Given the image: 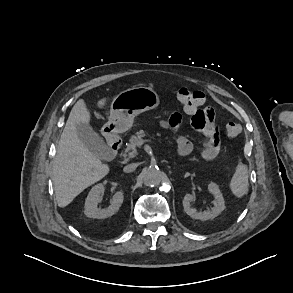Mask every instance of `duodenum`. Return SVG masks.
Returning a JSON list of instances; mask_svg holds the SVG:
<instances>
[{"instance_id":"1","label":"duodenum","mask_w":293,"mask_h":293,"mask_svg":"<svg viewBox=\"0 0 293 293\" xmlns=\"http://www.w3.org/2000/svg\"><path fill=\"white\" fill-rule=\"evenodd\" d=\"M122 141L119 138L112 137L109 141V149L113 158H116L119 154Z\"/></svg>"}]
</instances>
